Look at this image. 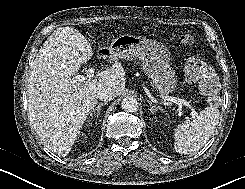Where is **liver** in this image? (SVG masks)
I'll use <instances>...</instances> for the list:
<instances>
[{
    "label": "liver",
    "instance_id": "1",
    "mask_svg": "<svg viewBox=\"0 0 245 189\" xmlns=\"http://www.w3.org/2000/svg\"><path fill=\"white\" fill-rule=\"evenodd\" d=\"M98 53L100 58L114 61L113 66L99 72L95 79L75 81L93 50L76 28L66 26L49 36L32 64L27 85L30 122L44 145L59 156L70 152L97 105L99 92L110 89L120 96L125 89L121 63L110 54Z\"/></svg>",
    "mask_w": 245,
    "mask_h": 189
}]
</instances>
